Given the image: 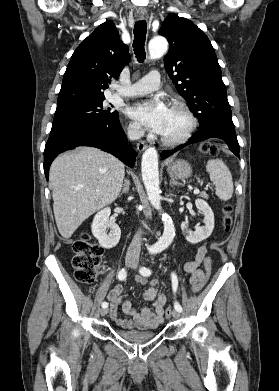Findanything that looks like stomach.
<instances>
[{
    "instance_id": "stomach-1",
    "label": "stomach",
    "mask_w": 279,
    "mask_h": 391,
    "mask_svg": "<svg viewBox=\"0 0 279 391\" xmlns=\"http://www.w3.org/2000/svg\"><path fill=\"white\" fill-rule=\"evenodd\" d=\"M170 176H174L178 179L188 178L192 173V168L188 162L185 160H176L168 168Z\"/></svg>"
}]
</instances>
